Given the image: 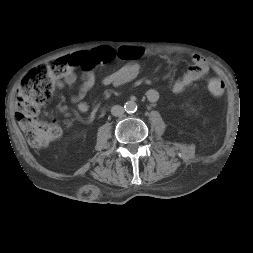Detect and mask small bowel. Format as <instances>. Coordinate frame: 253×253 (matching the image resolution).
<instances>
[{"label":"small bowel","mask_w":253,"mask_h":253,"mask_svg":"<svg viewBox=\"0 0 253 253\" xmlns=\"http://www.w3.org/2000/svg\"><path fill=\"white\" fill-rule=\"evenodd\" d=\"M151 52L142 47L122 46L119 48H112L109 46H100L90 51H79L66 56L71 62L70 71L64 75L61 80L57 81V85L62 87L64 84L72 86L77 80L76 69H81V82L78 86L76 94L71 98L75 104L73 110L68 105L59 104L58 110L61 111L68 118L67 123L70 124V117L73 114L76 118L83 122H91L98 113V105L90 106L84 99L89 91L95 86L97 75L95 68L99 65L108 64L115 59H121L125 63L118 69L108 73L101 79L104 86L121 87L134 81L141 70L139 59ZM171 62L166 55L161 56ZM209 72V65L207 61L198 54H193L191 57V64L187 67L184 74L176 79L171 87L175 94L183 92L187 87L194 82L202 79ZM146 97L150 102L158 101L160 94L156 89H149L146 92Z\"/></svg>","instance_id":"obj_1"}]
</instances>
